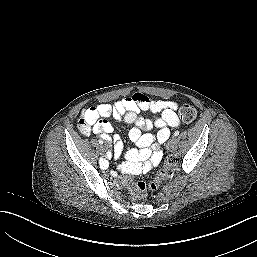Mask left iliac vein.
<instances>
[{"mask_svg":"<svg viewBox=\"0 0 257 257\" xmlns=\"http://www.w3.org/2000/svg\"><path fill=\"white\" fill-rule=\"evenodd\" d=\"M178 145V139L176 137H173L169 142H168V148L170 150H175L177 148Z\"/></svg>","mask_w":257,"mask_h":257,"instance_id":"left-iliac-vein-1","label":"left iliac vein"}]
</instances>
